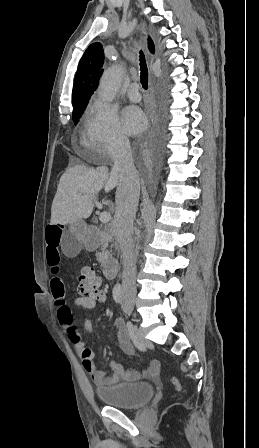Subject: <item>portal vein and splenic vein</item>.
Listing matches in <instances>:
<instances>
[{"label": "portal vein and splenic vein", "instance_id": "1", "mask_svg": "<svg viewBox=\"0 0 259 448\" xmlns=\"http://www.w3.org/2000/svg\"><path fill=\"white\" fill-rule=\"evenodd\" d=\"M100 222H103V224H107V222H110L111 220V214L109 212H102L99 216Z\"/></svg>", "mask_w": 259, "mask_h": 448}]
</instances>
